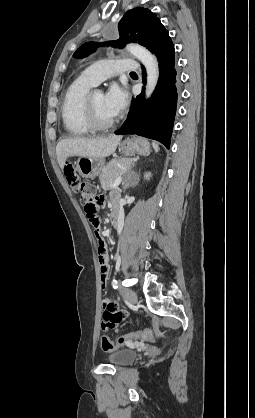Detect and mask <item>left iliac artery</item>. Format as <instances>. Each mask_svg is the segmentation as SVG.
<instances>
[{
  "label": "left iliac artery",
  "instance_id": "44dca946",
  "mask_svg": "<svg viewBox=\"0 0 255 418\" xmlns=\"http://www.w3.org/2000/svg\"><path fill=\"white\" fill-rule=\"evenodd\" d=\"M112 286L114 289H118V283L115 279L112 281Z\"/></svg>",
  "mask_w": 255,
  "mask_h": 418
}]
</instances>
